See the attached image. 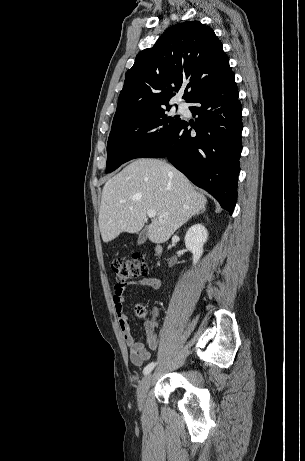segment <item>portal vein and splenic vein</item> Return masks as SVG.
<instances>
[{"mask_svg": "<svg viewBox=\"0 0 305 461\" xmlns=\"http://www.w3.org/2000/svg\"><path fill=\"white\" fill-rule=\"evenodd\" d=\"M147 216H148L149 218H154V217L156 216V213H155V211H153V210H148V211H147ZM164 216H165V215L162 214V215H160V218H162V217H164Z\"/></svg>", "mask_w": 305, "mask_h": 461, "instance_id": "1", "label": "portal vein and splenic vein"}]
</instances>
